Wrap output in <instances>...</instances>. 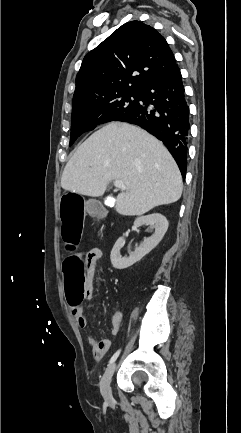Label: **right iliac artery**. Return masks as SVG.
I'll return each instance as SVG.
<instances>
[{"mask_svg": "<svg viewBox=\"0 0 241 433\" xmlns=\"http://www.w3.org/2000/svg\"><path fill=\"white\" fill-rule=\"evenodd\" d=\"M121 349H119L117 352L114 353V355L111 357L109 361V365L112 364L119 356Z\"/></svg>", "mask_w": 241, "mask_h": 433, "instance_id": "obj_1", "label": "right iliac artery"}]
</instances>
